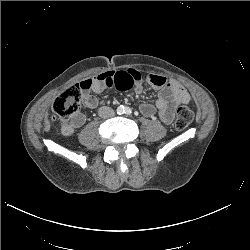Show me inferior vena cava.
<instances>
[{
  "label": "inferior vena cava",
  "mask_w": 250,
  "mask_h": 250,
  "mask_svg": "<svg viewBox=\"0 0 250 250\" xmlns=\"http://www.w3.org/2000/svg\"><path fill=\"white\" fill-rule=\"evenodd\" d=\"M98 113L101 118H109L115 114L114 110L107 106L100 107Z\"/></svg>",
  "instance_id": "602c4592"
}]
</instances>
